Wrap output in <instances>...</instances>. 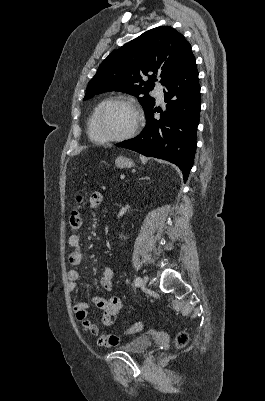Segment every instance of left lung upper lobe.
<instances>
[{"label": "left lung upper lobe", "instance_id": "left-lung-upper-lobe-1", "mask_svg": "<svg viewBox=\"0 0 265 401\" xmlns=\"http://www.w3.org/2000/svg\"><path fill=\"white\" fill-rule=\"evenodd\" d=\"M192 55L189 42L172 27L146 31L110 53L89 82L83 100L107 91H121L138 97L146 113L155 104V99L146 93L153 89L156 77L161 78V84H168ZM148 73L151 75L145 82L142 78Z\"/></svg>", "mask_w": 265, "mask_h": 401}]
</instances>
